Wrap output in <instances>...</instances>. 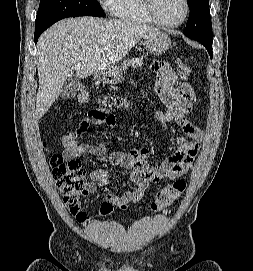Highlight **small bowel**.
Segmentation results:
<instances>
[{
  "instance_id": "obj_1",
  "label": "small bowel",
  "mask_w": 253,
  "mask_h": 271,
  "mask_svg": "<svg viewBox=\"0 0 253 271\" xmlns=\"http://www.w3.org/2000/svg\"><path fill=\"white\" fill-rule=\"evenodd\" d=\"M152 71L156 75V92L165 105V110L157 111L154 118L162 125L173 122L182 129V134L176 138L178 151L159 166H150L147 163L151 152L146 147L136 148L130 153L119 151L111 154L109 158L111 165L129 170L130 180L135 187L122 195L108 193L105 196V204L108 207L103 204L102 215L110 213L113 206L121 201L129 203L141 200L150 183L173 180L184 175L192 166L198 153L199 143L204 137L203 131L189 119L193 110L195 94L187 83H178L186 72L178 73L175 67L168 63H156L152 67ZM92 125L113 128L115 117L107 112L103 119H96L89 115L81 120L76 129L62 139L65 157L91 155L100 160L105 159L107 145L104 142L99 144L77 142V138L86 133ZM89 177L91 179L90 191L112 183L111 175L105 169L92 170Z\"/></svg>"
}]
</instances>
